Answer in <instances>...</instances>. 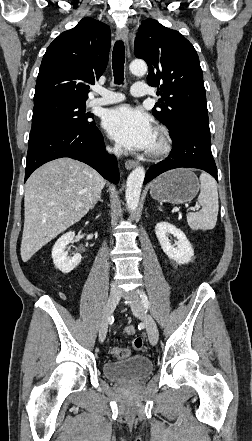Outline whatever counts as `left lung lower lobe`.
<instances>
[{"label": "left lung lower lobe", "instance_id": "left-lung-lower-lobe-1", "mask_svg": "<svg viewBox=\"0 0 252 441\" xmlns=\"http://www.w3.org/2000/svg\"><path fill=\"white\" fill-rule=\"evenodd\" d=\"M173 148L164 161L151 166L144 184L161 173L175 168H198L211 174L216 180L217 168L211 152L209 122L189 119L182 122L177 132L170 134Z\"/></svg>", "mask_w": 252, "mask_h": 441}]
</instances>
